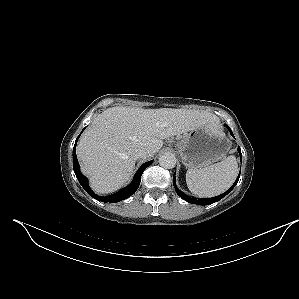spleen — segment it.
Returning a JSON list of instances; mask_svg holds the SVG:
<instances>
[{"label":"spleen","mask_w":299,"mask_h":299,"mask_svg":"<svg viewBox=\"0 0 299 299\" xmlns=\"http://www.w3.org/2000/svg\"><path fill=\"white\" fill-rule=\"evenodd\" d=\"M238 164L234 156L203 169H188L186 183L189 190L199 197H212L226 191L235 181Z\"/></svg>","instance_id":"3e777b00"}]
</instances>
